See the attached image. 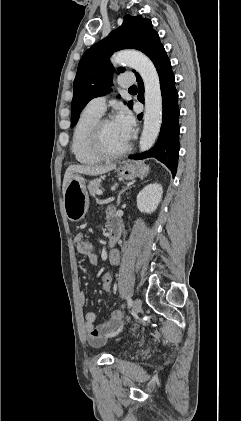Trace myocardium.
Returning <instances> with one entry per match:
<instances>
[{
    "mask_svg": "<svg viewBox=\"0 0 241 421\" xmlns=\"http://www.w3.org/2000/svg\"><path fill=\"white\" fill-rule=\"evenodd\" d=\"M109 122H112L110 118H100L94 125L90 138V144L93 152L102 160H112L120 158L127 154L131 148V144L129 142L123 149L117 152H110L105 148L103 144V129L104 126Z\"/></svg>",
    "mask_w": 241,
    "mask_h": 421,
    "instance_id": "obj_1",
    "label": "myocardium"
}]
</instances>
